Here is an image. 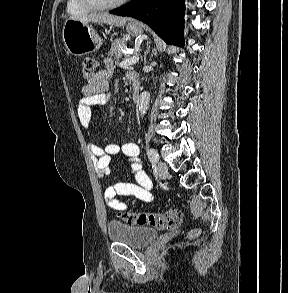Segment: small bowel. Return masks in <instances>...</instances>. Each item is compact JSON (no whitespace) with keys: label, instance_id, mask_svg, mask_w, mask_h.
Returning <instances> with one entry per match:
<instances>
[{"label":"small bowel","instance_id":"obj_1","mask_svg":"<svg viewBox=\"0 0 288 293\" xmlns=\"http://www.w3.org/2000/svg\"><path fill=\"white\" fill-rule=\"evenodd\" d=\"M113 70V62L107 58L105 60V68L100 70L81 89V99L77 108V114L80 124L85 129H88L91 124L94 108L106 104L109 100V80ZM132 75L130 74L129 77ZM87 147L94 158L96 172L102 180H106L110 174L109 164L111 156L122 152L130 164L128 174L135 179L136 183L119 182L115 185L107 186L104 190V198L110 208L118 211L127 209L126 203L120 201L117 196H134L141 203L153 200L151 193L152 182L138 159L139 147L136 143L128 142L123 145L109 143L100 146L95 142L89 141ZM137 206L135 205L134 207Z\"/></svg>","mask_w":288,"mask_h":293}]
</instances>
